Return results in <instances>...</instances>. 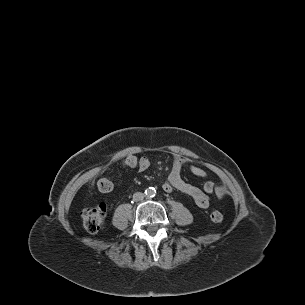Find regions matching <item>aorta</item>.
<instances>
[{
	"instance_id": "1",
	"label": "aorta",
	"mask_w": 305,
	"mask_h": 305,
	"mask_svg": "<svg viewBox=\"0 0 305 305\" xmlns=\"http://www.w3.org/2000/svg\"><path fill=\"white\" fill-rule=\"evenodd\" d=\"M146 194H147L148 196H153V195L155 194L154 188H148V189L146 190Z\"/></svg>"
}]
</instances>
